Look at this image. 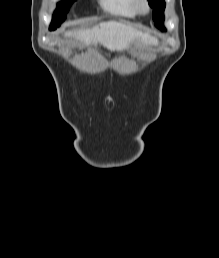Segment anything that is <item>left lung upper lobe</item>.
I'll use <instances>...</instances> for the list:
<instances>
[{
  "label": "left lung upper lobe",
  "mask_w": 219,
  "mask_h": 258,
  "mask_svg": "<svg viewBox=\"0 0 219 258\" xmlns=\"http://www.w3.org/2000/svg\"><path fill=\"white\" fill-rule=\"evenodd\" d=\"M150 6L153 8V19L155 21L156 27L165 31V27L163 25L164 21V9L165 2L163 0H148Z\"/></svg>",
  "instance_id": "5c2ea615"
}]
</instances>
